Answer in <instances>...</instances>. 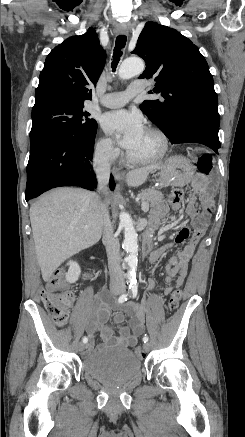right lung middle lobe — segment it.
Instances as JSON below:
<instances>
[{"instance_id":"right-lung-middle-lobe-1","label":"right lung middle lobe","mask_w":245,"mask_h":437,"mask_svg":"<svg viewBox=\"0 0 245 437\" xmlns=\"http://www.w3.org/2000/svg\"><path fill=\"white\" fill-rule=\"evenodd\" d=\"M30 146L46 135H55L68 142L86 141L96 133L97 123L82 104L50 102L32 108Z\"/></svg>"}]
</instances>
